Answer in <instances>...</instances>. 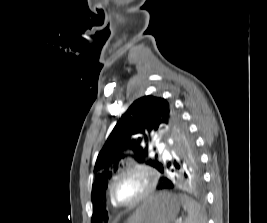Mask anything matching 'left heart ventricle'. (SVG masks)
Listing matches in <instances>:
<instances>
[{
  "mask_svg": "<svg viewBox=\"0 0 267 223\" xmlns=\"http://www.w3.org/2000/svg\"><path fill=\"white\" fill-rule=\"evenodd\" d=\"M147 178L140 172H130L122 176L115 185L116 198L122 202L132 201L146 188Z\"/></svg>",
  "mask_w": 267,
  "mask_h": 223,
  "instance_id": "b2bd125f",
  "label": "left heart ventricle"
}]
</instances>
